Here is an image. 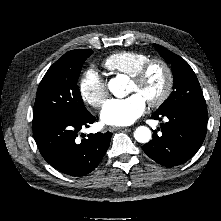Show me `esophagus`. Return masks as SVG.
Instances as JSON below:
<instances>
[{"instance_id":"esophagus-1","label":"esophagus","mask_w":221,"mask_h":221,"mask_svg":"<svg viewBox=\"0 0 221 221\" xmlns=\"http://www.w3.org/2000/svg\"><path fill=\"white\" fill-rule=\"evenodd\" d=\"M108 129H109L110 132H114V131H117V130H120V129H127V128L112 126V127H109Z\"/></svg>"}]
</instances>
